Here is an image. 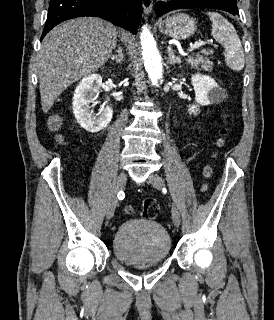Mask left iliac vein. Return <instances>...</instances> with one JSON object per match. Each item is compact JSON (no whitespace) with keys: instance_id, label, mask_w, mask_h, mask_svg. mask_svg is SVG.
<instances>
[{"instance_id":"1","label":"left iliac vein","mask_w":274,"mask_h":320,"mask_svg":"<svg viewBox=\"0 0 274 320\" xmlns=\"http://www.w3.org/2000/svg\"><path fill=\"white\" fill-rule=\"evenodd\" d=\"M149 182L156 189H162L164 187V180L161 176L157 174H151L149 176ZM172 220L176 227H178L181 223V217L178 208L175 204L172 205Z\"/></svg>"}]
</instances>
